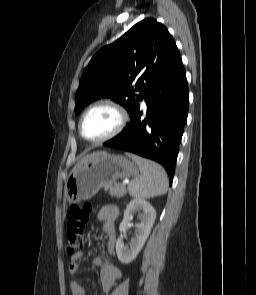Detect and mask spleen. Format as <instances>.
Masks as SVG:
<instances>
[{
  "mask_svg": "<svg viewBox=\"0 0 256 295\" xmlns=\"http://www.w3.org/2000/svg\"><path fill=\"white\" fill-rule=\"evenodd\" d=\"M139 167L141 175L128 185L129 194L138 199L152 198L167 192L168 178L165 170L156 162L127 153Z\"/></svg>",
  "mask_w": 256,
  "mask_h": 295,
  "instance_id": "3e777b00",
  "label": "spleen"
}]
</instances>
